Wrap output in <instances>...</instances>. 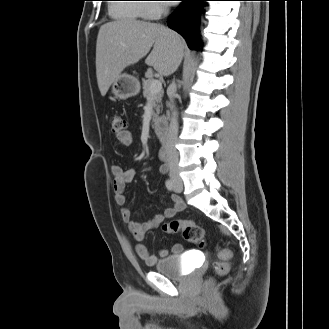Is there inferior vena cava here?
Wrapping results in <instances>:
<instances>
[{"mask_svg":"<svg viewBox=\"0 0 329 329\" xmlns=\"http://www.w3.org/2000/svg\"><path fill=\"white\" fill-rule=\"evenodd\" d=\"M176 92V84L173 81L168 88V96L172 102L173 97ZM174 106L172 105V108ZM178 136V116L177 112L174 110L170 118V124L168 129V134L166 137V152L168 156L169 164V175L171 179H179V169H178V152L175 149V143Z\"/></svg>","mask_w":329,"mask_h":329,"instance_id":"inferior-vena-cava-1","label":"inferior vena cava"}]
</instances>
